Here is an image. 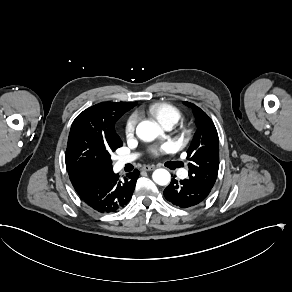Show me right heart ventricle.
<instances>
[{"mask_svg": "<svg viewBox=\"0 0 292 292\" xmlns=\"http://www.w3.org/2000/svg\"><path fill=\"white\" fill-rule=\"evenodd\" d=\"M147 112L161 125L168 121L175 124L180 119V111L173 105L166 102H155L148 106Z\"/></svg>", "mask_w": 292, "mask_h": 292, "instance_id": "1", "label": "right heart ventricle"}]
</instances>
